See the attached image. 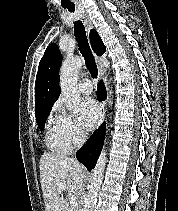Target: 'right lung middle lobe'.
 Segmentation results:
<instances>
[{
  "mask_svg": "<svg viewBox=\"0 0 178 211\" xmlns=\"http://www.w3.org/2000/svg\"><path fill=\"white\" fill-rule=\"evenodd\" d=\"M50 110H51V107L46 108V109L40 111L39 113L35 114L37 125H38L39 129H41V130L43 129L44 124L46 122V118L49 115Z\"/></svg>",
  "mask_w": 178,
  "mask_h": 211,
  "instance_id": "right-lung-middle-lobe-1",
  "label": "right lung middle lobe"
}]
</instances>
